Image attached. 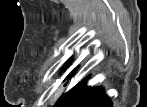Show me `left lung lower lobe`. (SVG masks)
<instances>
[{
    "label": "left lung lower lobe",
    "mask_w": 147,
    "mask_h": 107,
    "mask_svg": "<svg viewBox=\"0 0 147 107\" xmlns=\"http://www.w3.org/2000/svg\"><path fill=\"white\" fill-rule=\"evenodd\" d=\"M86 77L77 83L68 92L63 94L56 102V107H113L104 88L87 86Z\"/></svg>",
    "instance_id": "0a47b994"
}]
</instances>
